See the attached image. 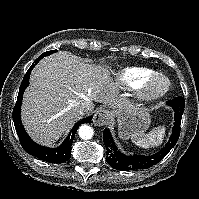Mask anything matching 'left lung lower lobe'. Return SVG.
<instances>
[{"label":"left lung lower lobe","mask_w":199,"mask_h":199,"mask_svg":"<svg viewBox=\"0 0 199 199\" xmlns=\"http://www.w3.org/2000/svg\"><path fill=\"white\" fill-rule=\"evenodd\" d=\"M175 112L174 126L168 143L159 152L151 156L122 154L116 147L109 129L103 132V141L107 150V163L120 171L148 169L159 163L175 146L180 135L181 118L184 112L185 102L182 96H178L167 102Z\"/></svg>","instance_id":"1"}]
</instances>
